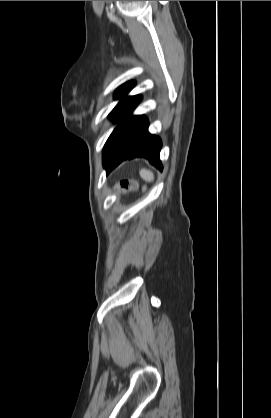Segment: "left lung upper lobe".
<instances>
[{
    "mask_svg": "<svg viewBox=\"0 0 271 418\" xmlns=\"http://www.w3.org/2000/svg\"><path fill=\"white\" fill-rule=\"evenodd\" d=\"M134 85H135V82L133 81L123 84L116 90L114 97L115 98L124 97L134 87ZM140 100H141V96L139 95L123 98L117 104V106L112 110L109 116L113 120L121 122L136 107V105L140 102Z\"/></svg>",
    "mask_w": 271,
    "mask_h": 418,
    "instance_id": "5c2ea615",
    "label": "left lung upper lobe"
}]
</instances>
